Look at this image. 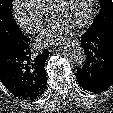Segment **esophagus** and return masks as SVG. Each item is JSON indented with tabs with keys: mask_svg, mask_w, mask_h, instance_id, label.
I'll return each instance as SVG.
<instances>
[{
	"mask_svg": "<svg viewBox=\"0 0 113 113\" xmlns=\"http://www.w3.org/2000/svg\"><path fill=\"white\" fill-rule=\"evenodd\" d=\"M66 43H75V44H78V41L77 40H73V41H69V42H66Z\"/></svg>",
	"mask_w": 113,
	"mask_h": 113,
	"instance_id": "34e87169",
	"label": "esophagus"
}]
</instances>
